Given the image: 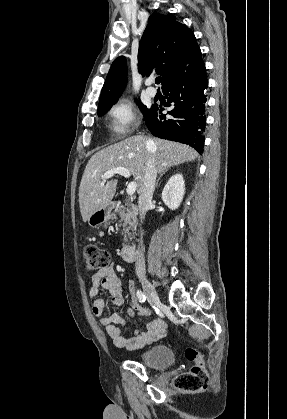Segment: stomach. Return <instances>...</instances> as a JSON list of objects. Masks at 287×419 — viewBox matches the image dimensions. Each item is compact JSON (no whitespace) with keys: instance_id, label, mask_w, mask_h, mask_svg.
<instances>
[{"instance_id":"obj_1","label":"stomach","mask_w":287,"mask_h":419,"mask_svg":"<svg viewBox=\"0 0 287 419\" xmlns=\"http://www.w3.org/2000/svg\"><path fill=\"white\" fill-rule=\"evenodd\" d=\"M112 205L109 204L105 208L94 212L88 219L90 226L97 227L103 223H107L112 218Z\"/></svg>"}]
</instances>
